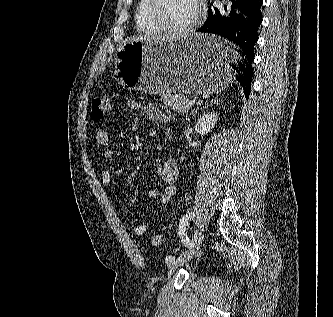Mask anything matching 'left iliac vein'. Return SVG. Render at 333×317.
I'll return each mask as SVG.
<instances>
[{
  "instance_id": "4c4485c4",
  "label": "left iliac vein",
  "mask_w": 333,
  "mask_h": 317,
  "mask_svg": "<svg viewBox=\"0 0 333 317\" xmlns=\"http://www.w3.org/2000/svg\"><path fill=\"white\" fill-rule=\"evenodd\" d=\"M203 238H204L203 234L197 231L190 242L188 250L182 255H180V257L169 263V268L170 269L178 268L179 266L186 263L189 259H191L199 250L203 242Z\"/></svg>"
}]
</instances>
